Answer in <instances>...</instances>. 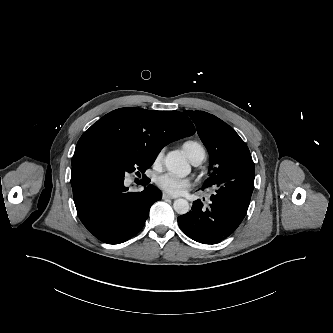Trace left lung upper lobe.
<instances>
[{
    "label": "left lung upper lobe",
    "instance_id": "1",
    "mask_svg": "<svg viewBox=\"0 0 333 333\" xmlns=\"http://www.w3.org/2000/svg\"><path fill=\"white\" fill-rule=\"evenodd\" d=\"M195 123L210 155V174L202 189L216 185L215 178L229 164L251 156L240 136L221 119L203 111H184ZM236 174V168L233 169ZM234 179V177L232 178Z\"/></svg>",
    "mask_w": 333,
    "mask_h": 333
}]
</instances>
